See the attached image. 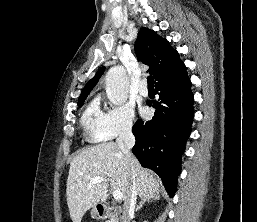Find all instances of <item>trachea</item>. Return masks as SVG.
<instances>
[{
    "label": "trachea",
    "mask_w": 257,
    "mask_h": 222,
    "mask_svg": "<svg viewBox=\"0 0 257 222\" xmlns=\"http://www.w3.org/2000/svg\"><path fill=\"white\" fill-rule=\"evenodd\" d=\"M147 82H148V87L149 88H154V79H153V76H148L147 77Z\"/></svg>",
    "instance_id": "1"
}]
</instances>
